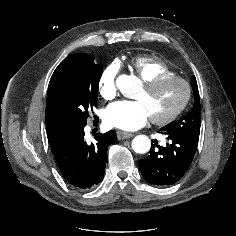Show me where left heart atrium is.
Returning <instances> with one entry per match:
<instances>
[{
    "label": "left heart atrium",
    "mask_w": 236,
    "mask_h": 236,
    "mask_svg": "<svg viewBox=\"0 0 236 236\" xmlns=\"http://www.w3.org/2000/svg\"><path fill=\"white\" fill-rule=\"evenodd\" d=\"M149 118L150 114L141 100L117 102L105 114V121L109 126L126 131L141 128Z\"/></svg>",
    "instance_id": "39dd6f15"
}]
</instances>
